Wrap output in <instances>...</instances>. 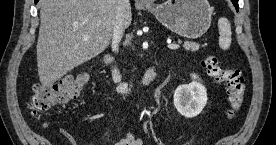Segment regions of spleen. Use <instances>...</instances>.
<instances>
[{
    "label": "spleen",
    "mask_w": 276,
    "mask_h": 145,
    "mask_svg": "<svg viewBox=\"0 0 276 145\" xmlns=\"http://www.w3.org/2000/svg\"><path fill=\"white\" fill-rule=\"evenodd\" d=\"M219 29V46L223 50H227L231 44V25L227 18L221 17L218 20Z\"/></svg>",
    "instance_id": "obj_1"
}]
</instances>
